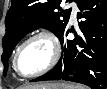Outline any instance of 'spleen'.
Returning a JSON list of instances; mask_svg holds the SVG:
<instances>
[{"instance_id": "obj_1", "label": "spleen", "mask_w": 107, "mask_h": 89, "mask_svg": "<svg viewBox=\"0 0 107 89\" xmlns=\"http://www.w3.org/2000/svg\"><path fill=\"white\" fill-rule=\"evenodd\" d=\"M64 89H84L82 85L79 84H64Z\"/></svg>"}]
</instances>
